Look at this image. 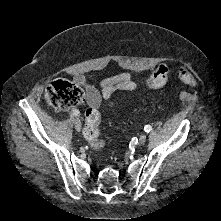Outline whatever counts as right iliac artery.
<instances>
[{"mask_svg": "<svg viewBox=\"0 0 221 221\" xmlns=\"http://www.w3.org/2000/svg\"><path fill=\"white\" fill-rule=\"evenodd\" d=\"M72 114H73L74 116H79V115H80V112H79V110H77V109H72Z\"/></svg>", "mask_w": 221, "mask_h": 221, "instance_id": "right-iliac-artery-1", "label": "right iliac artery"}]
</instances>
